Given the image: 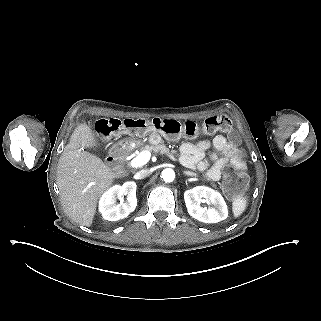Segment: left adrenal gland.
Listing matches in <instances>:
<instances>
[{
  "instance_id": "a2214340",
  "label": "left adrenal gland",
  "mask_w": 321,
  "mask_h": 321,
  "mask_svg": "<svg viewBox=\"0 0 321 321\" xmlns=\"http://www.w3.org/2000/svg\"><path fill=\"white\" fill-rule=\"evenodd\" d=\"M184 175L190 176V177H195V174L193 172L190 171H183Z\"/></svg>"
}]
</instances>
